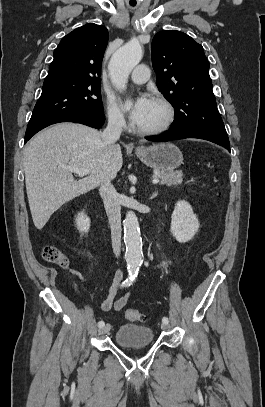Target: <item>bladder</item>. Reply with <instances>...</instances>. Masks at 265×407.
<instances>
[{
    "mask_svg": "<svg viewBox=\"0 0 265 407\" xmlns=\"http://www.w3.org/2000/svg\"><path fill=\"white\" fill-rule=\"evenodd\" d=\"M154 333L150 327L126 323L115 333V342L123 347H141L153 341Z\"/></svg>",
    "mask_w": 265,
    "mask_h": 407,
    "instance_id": "bladder-1",
    "label": "bladder"
}]
</instances>
